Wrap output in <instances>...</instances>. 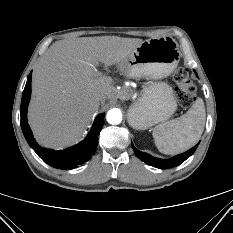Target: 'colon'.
Wrapping results in <instances>:
<instances>
[{
	"label": "colon",
	"instance_id": "obj_1",
	"mask_svg": "<svg viewBox=\"0 0 233 233\" xmlns=\"http://www.w3.org/2000/svg\"><path fill=\"white\" fill-rule=\"evenodd\" d=\"M173 80L176 84L177 101L185 107L192 104L195 96V89L189 81L188 71L179 67L174 71Z\"/></svg>",
	"mask_w": 233,
	"mask_h": 233
}]
</instances>
